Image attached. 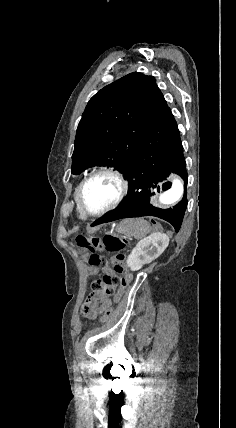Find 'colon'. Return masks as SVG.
<instances>
[{
	"label": "colon",
	"instance_id": "obj_1",
	"mask_svg": "<svg viewBox=\"0 0 236 428\" xmlns=\"http://www.w3.org/2000/svg\"><path fill=\"white\" fill-rule=\"evenodd\" d=\"M76 244L80 248L88 249L89 264L103 271L102 277L91 282L92 294L88 297L84 305L83 313L86 316L93 317L102 312V320L105 321L109 319L113 310L109 305H102L98 297L101 295H113L114 302L118 303L121 300L125 288L132 280L131 273L123 264L125 256L121 253L127 246L128 240L124 237L112 234L106 235L103 239L78 236L76 238ZM97 251L117 253L111 261L113 268L109 266L107 259L98 254Z\"/></svg>",
	"mask_w": 236,
	"mask_h": 428
}]
</instances>
